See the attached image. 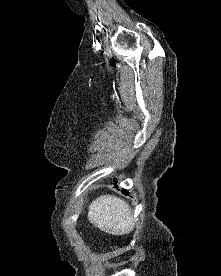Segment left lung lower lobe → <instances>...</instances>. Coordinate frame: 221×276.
Instances as JSON below:
<instances>
[{
  "instance_id": "left-lung-lower-lobe-1",
  "label": "left lung lower lobe",
  "mask_w": 221,
  "mask_h": 276,
  "mask_svg": "<svg viewBox=\"0 0 221 276\" xmlns=\"http://www.w3.org/2000/svg\"><path fill=\"white\" fill-rule=\"evenodd\" d=\"M115 183H116V181H115ZM122 191L124 194H126V195L128 194L127 190L123 189Z\"/></svg>"
}]
</instances>
